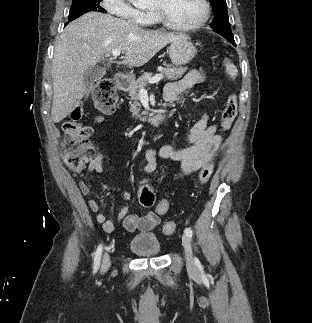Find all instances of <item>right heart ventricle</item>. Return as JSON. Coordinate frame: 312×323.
<instances>
[{
    "instance_id": "e07e8e85",
    "label": "right heart ventricle",
    "mask_w": 312,
    "mask_h": 323,
    "mask_svg": "<svg viewBox=\"0 0 312 323\" xmlns=\"http://www.w3.org/2000/svg\"><path fill=\"white\" fill-rule=\"evenodd\" d=\"M142 20H146V23L151 25L153 20H158V13H142Z\"/></svg>"
}]
</instances>
